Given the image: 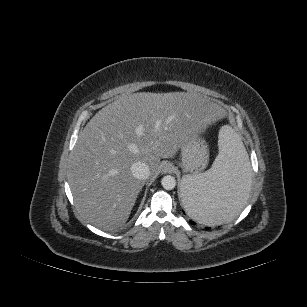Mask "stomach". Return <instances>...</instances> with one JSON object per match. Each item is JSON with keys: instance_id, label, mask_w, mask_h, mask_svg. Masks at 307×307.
Instances as JSON below:
<instances>
[{"instance_id": "0dacf381", "label": "stomach", "mask_w": 307, "mask_h": 307, "mask_svg": "<svg viewBox=\"0 0 307 307\" xmlns=\"http://www.w3.org/2000/svg\"><path fill=\"white\" fill-rule=\"evenodd\" d=\"M208 163V148L197 134L190 135L181 146V166L186 172H199Z\"/></svg>"}]
</instances>
